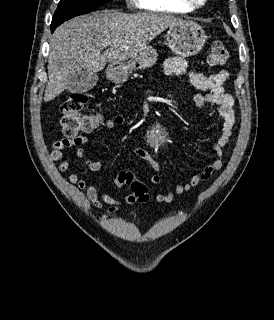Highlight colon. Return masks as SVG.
<instances>
[{
    "label": "colon",
    "mask_w": 274,
    "mask_h": 320,
    "mask_svg": "<svg viewBox=\"0 0 274 320\" xmlns=\"http://www.w3.org/2000/svg\"><path fill=\"white\" fill-rule=\"evenodd\" d=\"M229 55L225 47L220 43L212 44L208 52V61L215 66H223L227 63ZM89 95L84 92H74L58 107L62 134H83L87 130L89 120H101L98 114L86 113L85 108ZM117 181L120 186L126 182L131 183V196L134 199L145 201L148 198L146 186L136 180V175L128 173L127 169L117 170Z\"/></svg>",
    "instance_id": "1"
}]
</instances>
